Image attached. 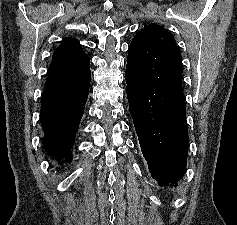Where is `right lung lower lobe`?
<instances>
[{
  "instance_id": "98d812e1",
  "label": "right lung lower lobe",
  "mask_w": 237,
  "mask_h": 225,
  "mask_svg": "<svg viewBox=\"0 0 237 225\" xmlns=\"http://www.w3.org/2000/svg\"><path fill=\"white\" fill-rule=\"evenodd\" d=\"M90 80L72 89H46L42 94V144L58 161L72 160L71 149L89 93Z\"/></svg>"
}]
</instances>
